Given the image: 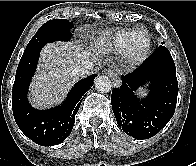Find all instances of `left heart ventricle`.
<instances>
[{
	"label": "left heart ventricle",
	"mask_w": 196,
	"mask_h": 166,
	"mask_svg": "<svg viewBox=\"0 0 196 166\" xmlns=\"http://www.w3.org/2000/svg\"><path fill=\"white\" fill-rule=\"evenodd\" d=\"M146 41V35L144 33H138L132 39L131 45L135 50H140L145 46Z\"/></svg>",
	"instance_id": "left-heart-ventricle-1"
}]
</instances>
